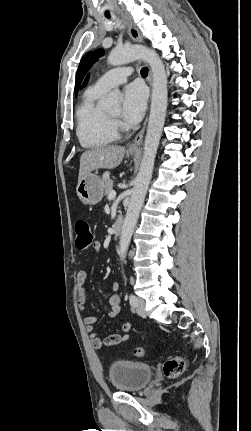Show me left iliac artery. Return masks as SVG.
<instances>
[{"instance_id":"left-iliac-artery-1","label":"left iliac artery","mask_w":251,"mask_h":431,"mask_svg":"<svg viewBox=\"0 0 251 431\" xmlns=\"http://www.w3.org/2000/svg\"><path fill=\"white\" fill-rule=\"evenodd\" d=\"M129 303L131 306L135 307L136 306V296H134L133 294H131L129 296Z\"/></svg>"}]
</instances>
